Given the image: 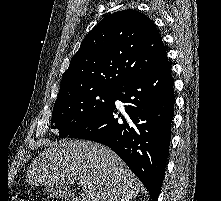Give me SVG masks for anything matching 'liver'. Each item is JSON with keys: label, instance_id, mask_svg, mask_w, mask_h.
<instances>
[{"label": "liver", "instance_id": "liver-1", "mask_svg": "<svg viewBox=\"0 0 221 201\" xmlns=\"http://www.w3.org/2000/svg\"><path fill=\"white\" fill-rule=\"evenodd\" d=\"M30 164L27 182L34 185H66L81 182L76 201H118L135 198L141 183L110 148L90 141L62 140Z\"/></svg>", "mask_w": 221, "mask_h": 201}]
</instances>
